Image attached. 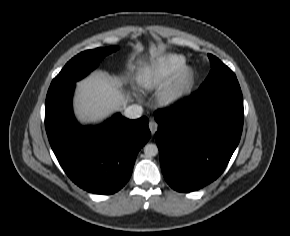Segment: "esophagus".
Wrapping results in <instances>:
<instances>
[{
  "label": "esophagus",
  "instance_id": "1",
  "mask_svg": "<svg viewBox=\"0 0 290 236\" xmlns=\"http://www.w3.org/2000/svg\"><path fill=\"white\" fill-rule=\"evenodd\" d=\"M157 128H158V124L156 121H154L153 119L149 121V129L153 134H155V132L157 131Z\"/></svg>",
  "mask_w": 290,
  "mask_h": 236
}]
</instances>
